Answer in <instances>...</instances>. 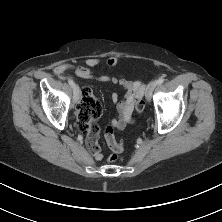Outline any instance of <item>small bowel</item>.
I'll return each instance as SVG.
<instances>
[{
    "label": "small bowel",
    "instance_id": "obj_1",
    "mask_svg": "<svg viewBox=\"0 0 222 222\" xmlns=\"http://www.w3.org/2000/svg\"><path fill=\"white\" fill-rule=\"evenodd\" d=\"M102 62V59L90 58L86 61L85 66L77 67L68 63H61L56 65L53 71L55 74L60 75L68 70H73L80 78L97 79L102 82L119 84L125 90V95L123 99L120 100L117 93L112 94V101L116 105L118 116L111 121L109 127L121 130L133 121L135 102L143 97L144 85L139 81H130L126 78H117L106 74L96 73L93 69L99 66ZM117 62L118 59L116 57H110L106 60V64L110 67L115 66ZM86 133L89 149L96 160H101L103 155L98 146L99 126L96 123V119L90 121Z\"/></svg>",
    "mask_w": 222,
    "mask_h": 222
}]
</instances>
